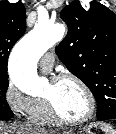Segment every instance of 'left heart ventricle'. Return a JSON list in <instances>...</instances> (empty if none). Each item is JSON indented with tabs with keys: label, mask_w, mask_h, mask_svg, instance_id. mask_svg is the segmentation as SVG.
Wrapping results in <instances>:
<instances>
[{
	"label": "left heart ventricle",
	"mask_w": 116,
	"mask_h": 134,
	"mask_svg": "<svg viewBox=\"0 0 116 134\" xmlns=\"http://www.w3.org/2000/svg\"><path fill=\"white\" fill-rule=\"evenodd\" d=\"M44 97L50 98L57 110L66 118L80 119L88 110V99L83 89L72 81L50 82Z\"/></svg>",
	"instance_id": "obj_1"
}]
</instances>
